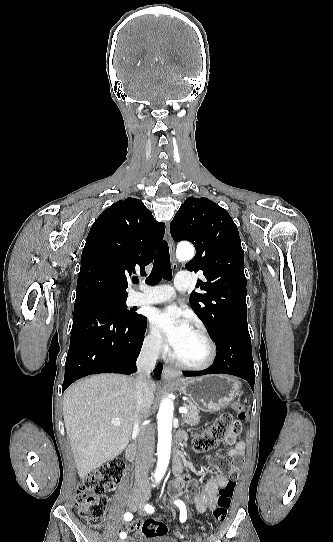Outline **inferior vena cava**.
<instances>
[{"label": "inferior vena cava", "mask_w": 333, "mask_h": 542, "mask_svg": "<svg viewBox=\"0 0 333 542\" xmlns=\"http://www.w3.org/2000/svg\"><path fill=\"white\" fill-rule=\"evenodd\" d=\"M159 356V342L154 344L153 348H143L136 362L138 374L136 378V414L134 426L138 430V450L135 460V482L136 488H149L148 472L153 462L155 450V438L153 426L146 424L141 426L145 414L151 408L154 400L153 392L150 390L151 380L149 374L156 366V360Z\"/></svg>", "instance_id": "inferior-vena-cava-1"}]
</instances>
